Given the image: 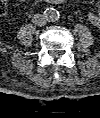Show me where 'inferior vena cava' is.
Here are the masks:
<instances>
[{
  "label": "inferior vena cava",
  "instance_id": "602c4592",
  "mask_svg": "<svg viewBox=\"0 0 100 118\" xmlns=\"http://www.w3.org/2000/svg\"><path fill=\"white\" fill-rule=\"evenodd\" d=\"M32 22L37 26H45L47 23V18L44 14H35L33 16Z\"/></svg>",
  "mask_w": 100,
  "mask_h": 118
}]
</instances>
